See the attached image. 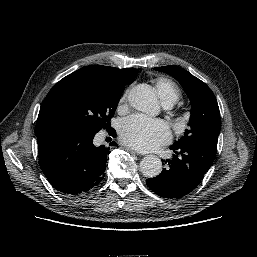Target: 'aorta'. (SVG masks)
Returning <instances> with one entry per match:
<instances>
[{"instance_id":"obj_1","label":"aorta","mask_w":257,"mask_h":257,"mask_svg":"<svg viewBox=\"0 0 257 257\" xmlns=\"http://www.w3.org/2000/svg\"><path fill=\"white\" fill-rule=\"evenodd\" d=\"M128 100L134 109L147 114H155L159 109L155 92L146 84L133 87L129 92ZM140 170L146 177H156L162 171V162L155 155H147L140 162Z\"/></svg>"}]
</instances>
